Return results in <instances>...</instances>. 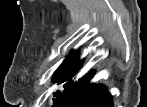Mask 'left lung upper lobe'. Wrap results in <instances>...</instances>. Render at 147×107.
I'll return each mask as SVG.
<instances>
[{
	"instance_id": "5c2ea615",
	"label": "left lung upper lobe",
	"mask_w": 147,
	"mask_h": 107,
	"mask_svg": "<svg viewBox=\"0 0 147 107\" xmlns=\"http://www.w3.org/2000/svg\"><path fill=\"white\" fill-rule=\"evenodd\" d=\"M83 65V60L79 59V51H71L56 70L54 80L57 84L64 83V87L75 76ZM59 93V91L57 92Z\"/></svg>"
}]
</instances>
